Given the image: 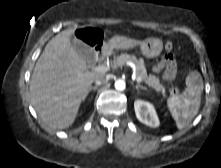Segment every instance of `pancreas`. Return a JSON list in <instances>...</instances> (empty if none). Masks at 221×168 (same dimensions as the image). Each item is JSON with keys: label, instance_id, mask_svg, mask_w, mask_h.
I'll list each match as a JSON object with an SVG mask.
<instances>
[{"label": "pancreas", "instance_id": "1", "mask_svg": "<svg viewBox=\"0 0 221 168\" xmlns=\"http://www.w3.org/2000/svg\"><path fill=\"white\" fill-rule=\"evenodd\" d=\"M127 62H132L135 64V74L137 77H140L145 84L155 89L157 92H161L163 95H165V87L160 83L159 79L155 75L147 74L146 67L142 59H137L136 57L128 54H121L120 56L114 58L113 65L121 67Z\"/></svg>", "mask_w": 221, "mask_h": 168}]
</instances>
